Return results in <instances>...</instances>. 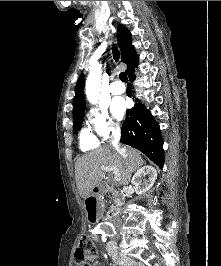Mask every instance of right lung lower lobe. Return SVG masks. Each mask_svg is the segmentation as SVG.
I'll use <instances>...</instances> for the list:
<instances>
[{"label": "right lung lower lobe", "mask_w": 221, "mask_h": 266, "mask_svg": "<svg viewBox=\"0 0 221 266\" xmlns=\"http://www.w3.org/2000/svg\"><path fill=\"white\" fill-rule=\"evenodd\" d=\"M137 66L138 64L134 68ZM134 68L127 74L130 81L135 78ZM127 95H132L130 88L127 89ZM120 141L137 148L160 167L164 164L163 139L159 124L140 101L137 106L127 110Z\"/></svg>", "instance_id": "obj_1"}]
</instances>
